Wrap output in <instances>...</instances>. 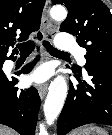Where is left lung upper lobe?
Returning a JSON list of instances; mask_svg holds the SVG:
<instances>
[{
  "label": "left lung upper lobe",
  "instance_id": "1",
  "mask_svg": "<svg viewBox=\"0 0 112 135\" xmlns=\"http://www.w3.org/2000/svg\"><path fill=\"white\" fill-rule=\"evenodd\" d=\"M65 5L68 15L60 26L61 32L76 36L77 42L87 50L85 68L112 67V15L101 0H52ZM78 72L80 67L75 66Z\"/></svg>",
  "mask_w": 112,
  "mask_h": 135
}]
</instances>
